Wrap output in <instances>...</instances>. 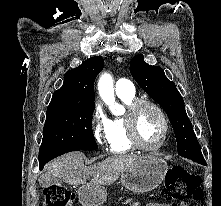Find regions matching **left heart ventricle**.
<instances>
[{
	"mask_svg": "<svg viewBox=\"0 0 221 206\" xmlns=\"http://www.w3.org/2000/svg\"><path fill=\"white\" fill-rule=\"evenodd\" d=\"M138 132L142 142L154 146L162 138L163 123L158 113L150 107L140 108L137 115Z\"/></svg>",
	"mask_w": 221,
	"mask_h": 206,
	"instance_id": "obj_1",
	"label": "left heart ventricle"
}]
</instances>
